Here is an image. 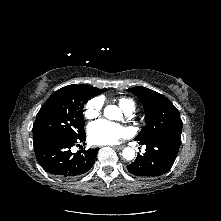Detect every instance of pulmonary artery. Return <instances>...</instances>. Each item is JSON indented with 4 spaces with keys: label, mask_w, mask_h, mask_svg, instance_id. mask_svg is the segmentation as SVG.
I'll return each instance as SVG.
<instances>
[{
    "label": "pulmonary artery",
    "mask_w": 221,
    "mask_h": 221,
    "mask_svg": "<svg viewBox=\"0 0 221 221\" xmlns=\"http://www.w3.org/2000/svg\"><path fill=\"white\" fill-rule=\"evenodd\" d=\"M133 111V109H129L127 111H125L127 114H130Z\"/></svg>",
    "instance_id": "pulmonary-artery-1"
}]
</instances>
